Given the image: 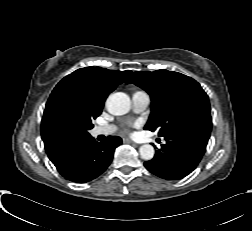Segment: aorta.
Returning <instances> with one entry per match:
<instances>
[{"mask_svg": "<svg viewBox=\"0 0 252 231\" xmlns=\"http://www.w3.org/2000/svg\"><path fill=\"white\" fill-rule=\"evenodd\" d=\"M130 98L123 92L113 93L106 100V108L112 115H124L130 110ZM142 159L148 161L154 157L155 150L150 144H144L139 148Z\"/></svg>", "mask_w": 252, "mask_h": 231, "instance_id": "762f6f07", "label": "aorta"}]
</instances>
